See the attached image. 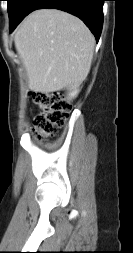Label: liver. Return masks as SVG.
Instances as JSON below:
<instances>
[{
    "label": "liver",
    "instance_id": "6515ba94",
    "mask_svg": "<svg viewBox=\"0 0 133 253\" xmlns=\"http://www.w3.org/2000/svg\"><path fill=\"white\" fill-rule=\"evenodd\" d=\"M14 43L29 88L50 93L78 86L87 77L95 39L77 17L55 9L32 12L15 30Z\"/></svg>",
    "mask_w": 133,
    "mask_h": 253
}]
</instances>
